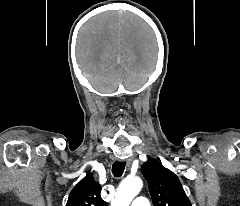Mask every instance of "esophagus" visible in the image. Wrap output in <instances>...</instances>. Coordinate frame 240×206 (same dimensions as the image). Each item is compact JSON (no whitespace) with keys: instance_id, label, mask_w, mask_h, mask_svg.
<instances>
[{"instance_id":"1","label":"esophagus","mask_w":240,"mask_h":206,"mask_svg":"<svg viewBox=\"0 0 240 206\" xmlns=\"http://www.w3.org/2000/svg\"><path fill=\"white\" fill-rule=\"evenodd\" d=\"M121 161H125L128 165L131 164L132 160L131 159H125V160H121Z\"/></svg>"}]
</instances>
